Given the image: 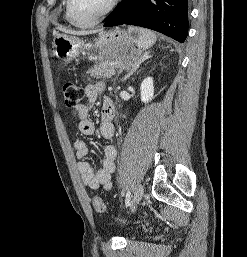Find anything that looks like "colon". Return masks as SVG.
<instances>
[{"instance_id": "colon-1", "label": "colon", "mask_w": 247, "mask_h": 257, "mask_svg": "<svg viewBox=\"0 0 247 257\" xmlns=\"http://www.w3.org/2000/svg\"><path fill=\"white\" fill-rule=\"evenodd\" d=\"M62 92L64 103L68 107L76 106L83 97V90L71 81H65L62 84ZM92 206L98 213H104L106 211L105 203L100 196L95 195L92 197Z\"/></svg>"}]
</instances>
